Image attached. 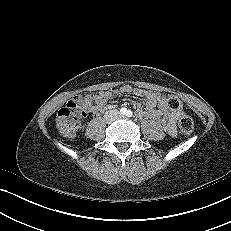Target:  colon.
<instances>
[{"label": "colon", "instance_id": "obj_1", "mask_svg": "<svg viewBox=\"0 0 231 231\" xmlns=\"http://www.w3.org/2000/svg\"><path fill=\"white\" fill-rule=\"evenodd\" d=\"M166 104L173 111H180L182 108V102L176 96H168ZM84 116L85 112L80 108L78 96H76L58 111L56 126L63 136L71 137L75 134ZM179 129L184 134L192 133L194 129L193 119L182 114L179 119Z\"/></svg>", "mask_w": 231, "mask_h": 231}]
</instances>
